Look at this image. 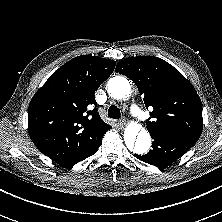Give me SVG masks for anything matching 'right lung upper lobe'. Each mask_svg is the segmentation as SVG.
Instances as JSON below:
<instances>
[{"label":"right lung upper lobe","mask_w":222,"mask_h":222,"mask_svg":"<svg viewBox=\"0 0 222 222\" xmlns=\"http://www.w3.org/2000/svg\"><path fill=\"white\" fill-rule=\"evenodd\" d=\"M116 62L78 56L55 71L33 96L28 132L35 146L65 165L89 154L111 129L99 116L94 93L112 74Z\"/></svg>","instance_id":"1"}]
</instances>
